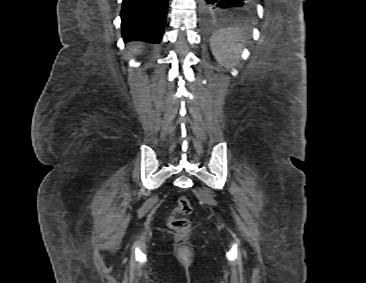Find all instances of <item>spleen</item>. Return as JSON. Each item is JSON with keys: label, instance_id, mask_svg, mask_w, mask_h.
<instances>
[{"label": "spleen", "instance_id": "1", "mask_svg": "<svg viewBox=\"0 0 366 283\" xmlns=\"http://www.w3.org/2000/svg\"><path fill=\"white\" fill-rule=\"evenodd\" d=\"M245 43L239 28H223L210 38V47L214 57L226 67L237 65Z\"/></svg>", "mask_w": 366, "mask_h": 283}]
</instances>
